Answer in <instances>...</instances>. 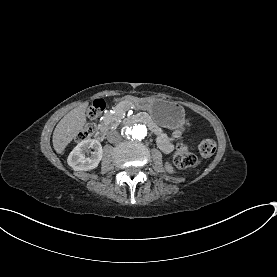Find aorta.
<instances>
[{"label":"aorta","mask_w":277,"mask_h":277,"mask_svg":"<svg viewBox=\"0 0 277 277\" xmlns=\"http://www.w3.org/2000/svg\"><path fill=\"white\" fill-rule=\"evenodd\" d=\"M124 136L128 139L142 140L147 135V128L142 124H130L123 130Z\"/></svg>","instance_id":"762f6f07"}]
</instances>
